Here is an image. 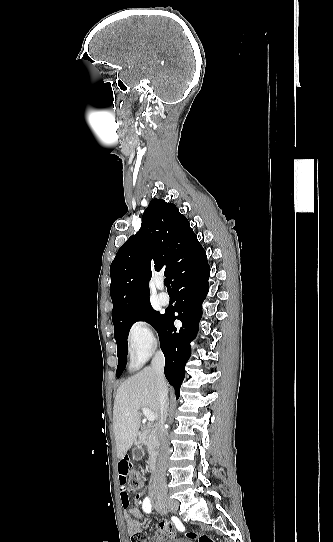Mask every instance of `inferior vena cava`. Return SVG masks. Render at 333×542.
Returning a JSON list of instances; mask_svg holds the SVG:
<instances>
[{
  "label": "inferior vena cava",
  "instance_id": "obj_1",
  "mask_svg": "<svg viewBox=\"0 0 333 542\" xmlns=\"http://www.w3.org/2000/svg\"><path fill=\"white\" fill-rule=\"evenodd\" d=\"M151 366L156 374V384L159 394L160 420L158 424V436L160 440V452L154 470H151L150 492L166 488V466L168 460L167 440L165 438L164 424L167 418L166 404L168 400V388L164 376L165 358L162 352H156Z\"/></svg>",
  "mask_w": 333,
  "mask_h": 542
}]
</instances>
